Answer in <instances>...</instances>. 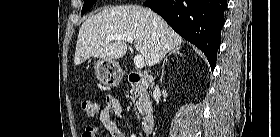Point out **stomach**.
I'll return each mask as SVG.
<instances>
[{"mask_svg": "<svg viewBox=\"0 0 280 137\" xmlns=\"http://www.w3.org/2000/svg\"><path fill=\"white\" fill-rule=\"evenodd\" d=\"M95 74L106 86L117 85L122 79L120 65L114 60L99 59L95 63Z\"/></svg>", "mask_w": 280, "mask_h": 137, "instance_id": "obj_1", "label": "stomach"}]
</instances>
